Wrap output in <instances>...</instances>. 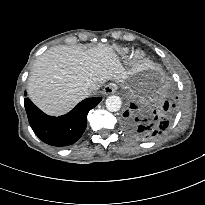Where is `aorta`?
Masks as SVG:
<instances>
[{
    "mask_svg": "<svg viewBox=\"0 0 205 205\" xmlns=\"http://www.w3.org/2000/svg\"><path fill=\"white\" fill-rule=\"evenodd\" d=\"M105 104H106L107 109L111 112H116V111L120 110V108L122 106V102H121L120 97H118L116 95L108 96Z\"/></svg>",
    "mask_w": 205,
    "mask_h": 205,
    "instance_id": "762f6f07",
    "label": "aorta"
}]
</instances>
